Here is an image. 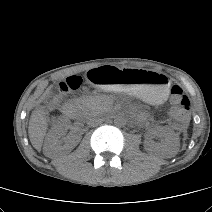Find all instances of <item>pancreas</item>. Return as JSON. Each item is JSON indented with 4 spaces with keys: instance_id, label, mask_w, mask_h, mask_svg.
Returning a JSON list of instances; mask_svg holds the SVG:
<instances>
[{
    "instance_id": "1",
    "label": "pancreas",
    "mask_w": 212,
    "mask_h": 212,
    "mask_svg": "<svg viewBox=\"0 0 212 212\" xmlns=\"http://www.w3.org/2000/svg\"><path fill=\"white\" fill-rule=\"evenodd\" d=\"M74 102L80 107L83 112L97 111L103 105V102L100 98L93 96H81L75 99Z\"/></svg>"
}]
</instances>
